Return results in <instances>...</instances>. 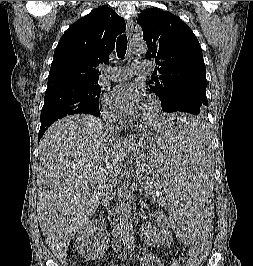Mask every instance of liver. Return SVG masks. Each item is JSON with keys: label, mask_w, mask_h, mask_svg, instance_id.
Instances as JSON below:
<instances>
[{"label": "liver", "mask_w": 253, "mask_h": 266, "mask_svg": "<svg viewBox=\"0 0 253 266\" xmlns=\"http://www.w3.org/2000/svg\"><path fill=\"white\" fill-rule=\"evenodd\" d=\"M39 148L38 220L62 261L73 235L98 209L110 177L121 172L129 145L108 138L99 119L74 115L52 124Z\"/></svg>", "instance_id": "obj_1"}]
</instances>
